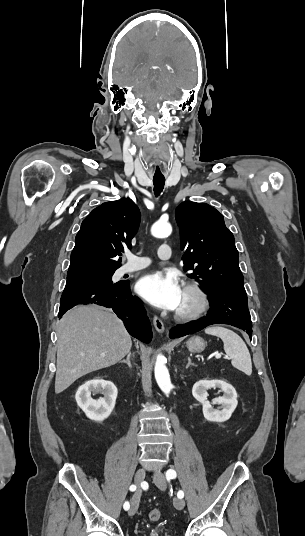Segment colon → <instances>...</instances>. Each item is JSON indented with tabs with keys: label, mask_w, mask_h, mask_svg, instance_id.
<instances>
[{
	"label": "colon",
	"mask_w": 305,
	"mask_h": 536,
	"mask_svg": "<svg viewBox=\"0 0 305 536\" xmlns=\"http://www.w3.org/2000/svg\"><path fill=\"white\" fill-rule=\"evenodd\" d=\"M160 517H161V510L158 508L152 509L149 512V519L152 521H157L160 519Z\"/></svg>",
	"instance_id": "5ec220e1"
}]
</instances>
